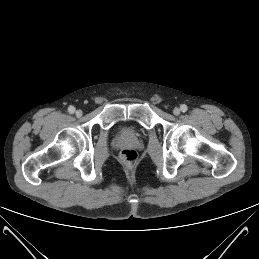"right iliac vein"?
<instances>
[{
	"label": "right iliac vein",
	"mask_w": 259,
	"mask_h": 259,
	"mask_svg": "<svg viewBox=\"0 0 259 259\" xmlns=\"http://www.w3.org/2000/svg\"><path fill=\"white\" fill-rule=\"evenodd\" d=\"M82 114H83V112H82L81 110H77V111H76V116H77V117H81Z\"/></svg>",
	"instance_id": "1"
}]
</instances>
